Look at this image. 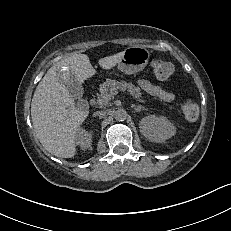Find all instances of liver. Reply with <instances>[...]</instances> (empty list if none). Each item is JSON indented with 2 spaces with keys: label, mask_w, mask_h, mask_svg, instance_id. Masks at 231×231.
Returning <instances> with one entry per match:
<instances>
[{
  "label": "liver",
  "mask_w": 231,
  "mask_h": 231,
  "mask_svg": "<svg viewBox=\"0 0 231 231\" xmlns=\"http://www.w3.org/2000/svg\"><path fill=\"white\" fill-rule=\"evenodd\" d=\"M124 51L99 59V65L109 70L115 67ZM68 68L81 83L95 75L86 54H73L54 64L39 82L31 103V118L42 146L52 155L71 158L76 154V135L88 116V110L75 107L67 87L57 78V72Z\"/></svg>",
  "instance_id": "6515ba94"
}]
</instances>
